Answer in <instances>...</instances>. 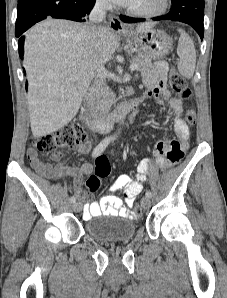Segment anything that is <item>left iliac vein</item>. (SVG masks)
<instances>
[{"label":"left iliac vein","instance_id":"obj_1","mask_svg":"<svg viewBox=\"0 0 227 298\" xmlns=\"http://www.w3.org/2000/svg\"><path fill=\"white\" fill-rule=\"evenodd\" d=\"M141 205L144 209H148L151 206V200L150 197H143L141 200Z\"/></svg>","mask_w":227,"mask_h":298}]
</instances>
